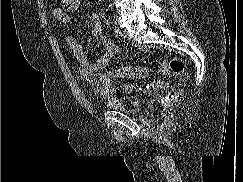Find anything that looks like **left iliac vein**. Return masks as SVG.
Segmentation results:
<instances>
[{
  "instance_id": "left-iliac-vein-1",
  "label": "left iliac vein",
  "mask_w": 243,
  "mask_h": 182,
  "mask_svg": "<svg viewBox=\"0 0 243 182\" xmlns=\"http://www.w3.org/2000/svg\"><path fill=\"white\" fill-rule=\"evenodd\" d=\"M122 36H123L125 39H128V40L131 39V36H130L129 33H128L127 31H125V30L123 31Z\"/></svg>"
}]
</instances>
